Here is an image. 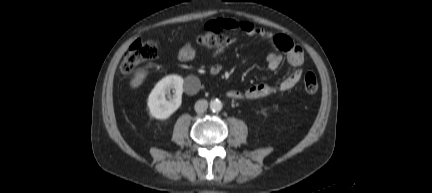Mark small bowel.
Listing matches in <instances>:
<instances>
[{"mask_svg":"<svg viewBox=\"0 0 432 193\" xmlns=\"http://www.w3.org/2000/svg\"><path fill=\"white\" fill-rule=\"evenodd\" d=\"M209 24H216L223 30L239 31L249 36H256L264 40L268 47L267 55L268 68L274 71L280 67L283 61V56L289 65L296 69L286 78L281 80L277 85L258 83L249 87L245 91L231 89L227 92L228 97L232 99H260L272 95L276 92L287 91L293 88L302 76L301 66L304 62V53L300 46L293 43L292 39L285 35L273 34L270 31L258 27L249 21H239L234 19H218ZM196 49L191 44L183 45L177 52V57L181 62H189L195 57ZM219 52L214 53L212 61L207 69L211 75H218L223 66L217 60ZM200 83L196 77H188L185 82L186 93L192 95L199 91Z\"/></svg>","mask_w":432,"mask_h":193,"instance_id":"obj_1","label":"small bowel"}]
</instances>
